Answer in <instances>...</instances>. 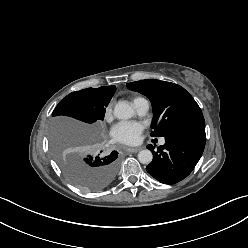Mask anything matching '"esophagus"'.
I'll return each instance as SVG.
<instances>
[{
  "label": "esophagus",
  "mask_w": 248,
  "mask_h": 248,
  "mask_svg": "<svg viewBox=\"0 0 248 248\" xmlns=\"http://www.w3.org/2000/svg\"><path fill=\"white\" fill-rule=\"evenodd\" d=\"M140 150V148H134V147H128L126 148V151L127 152H130V153H136Z\"/></svg>",
  "instance_id": "obj_1"
}]
</instances>
